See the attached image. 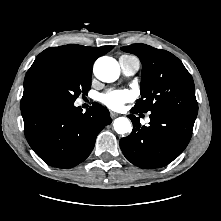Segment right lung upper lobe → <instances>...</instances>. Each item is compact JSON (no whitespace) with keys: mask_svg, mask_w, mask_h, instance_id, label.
Returning <instances> with one entry per match:
<instances>
[{"mask_svg":"<svg viewBox=\"0 0 221 221\" xmlns=\"http://www.w3.org/2000/svg\"><path fill=\"white\" fill-rule=\"evenodd\" d=\"M113 49V46L85 47L81 45H65L51 47L41 52L28 70L24 80V92L21 99V110L31 105L35 100L30 94L33 78L44 68L51 65H72L92 72L95 60Z\"/></svg>","mask_w":221,"mask_h":221,"instance_id":"cb5924a9","label":"right lung upper lobe"}]
</instances>
